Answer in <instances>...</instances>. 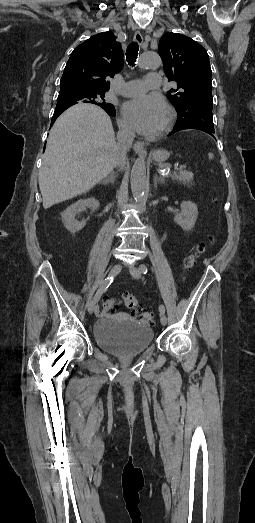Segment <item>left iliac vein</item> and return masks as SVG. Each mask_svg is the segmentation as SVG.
I'll return each mask as SVG.
<instances>
[{"mask_svg":"<svg viewBox=\"0 0 255 523\" xmlns=\"http://www.w3.org/2000/svg\"><path fill=\"white\" fill-rule=\"evenodd\" d=\"M130 273L135 279H139L141 277V271L134 265L130 266ZM160 322L162 325H166L167 318L164 314L161 315Z\"/></svg>","mask_w":255,"mask_h":523,"instance_id":"1","label":"left iliac vein"}]
</instances>
